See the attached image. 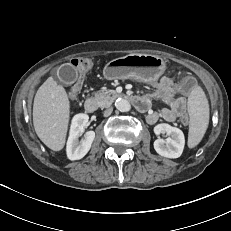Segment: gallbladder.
Here are the masks:
<instances>
[{"label":"gallbladder","mask_w":231,"mask_h":231,"mask_svg":"<svg viewBox=\"0 0 231 231\" xmlns=\"http://www.w3.org/2000/svg\"><path fill=\"white\" fill-rule=\"evenodd\" d=\"M76 74L77 71L73 66L70 64H65L57 69L55 76L61 83L65 85H71L75 81Z\"/></svg>","instance_id":"bac80fb5"}]
</instances>
